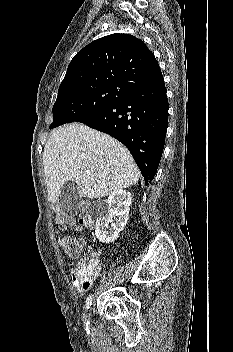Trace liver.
Wrapping results in <instances>:
<instances>
[{
	"label": "liver",
	"instance_id": "obj_1",
	"mask_svg": "<svg viewBox=\"0 0 233 352\" xmlns=\"http://www.w3.org/2000/svg\"><path fill=\"white\" fill-rule=\"evenodd\" d=\"M43 166L52 204L69 180L77 184L80 197L97 199L136 184L140 176L124 145L80 123L53 131L44 147Z\"/></svg>",
	"mask_w": 233,
	"mask_h": 352
}]
</instances>
